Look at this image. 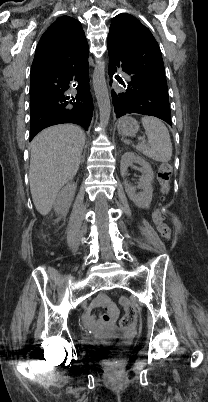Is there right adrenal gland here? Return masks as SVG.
I'll use <instances>...</instances> for the list:
<instances>
[{
  "mask_svg": "<svg viewBox=\"0 0 208 402\" xmlns=\"http://www.w3.org/2000/svg\"><path fill=\"white\" fill-rule=\"evenodd\" d=\"M85 152H86V150H84V154H83V156H81V162H84Z\"/></svg>",
  "mask_w": 208,
  "mask_h": 402,
  "instance_id": "obj_1",
  "label": "right adrenal gland"
}]
</instances>
